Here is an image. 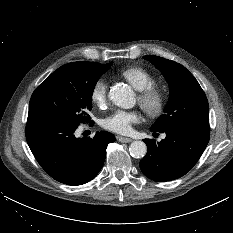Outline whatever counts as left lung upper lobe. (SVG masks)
<instances>
[{
    "label": "left lung upper lobe",
    "mask_w": 233,
    "mask_h": 233,
    "mask_svg": "<svg viewBox=\"0 0 233 233\" xmlns=\"http://www.w3.org/2000/svg\"><path fill=\"white\" fill-rule=\"evenodd\" d=\"M169 84L170 96L164 114L151 127L162 132L187 121L209 122V105L195 77L181 64L162 57L147 55Z\"/></svg>",
    "instance_id": "left-lung-upper-lobe-1"
}]
</instances>
